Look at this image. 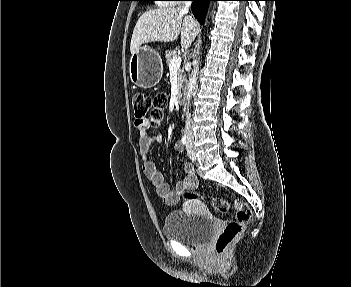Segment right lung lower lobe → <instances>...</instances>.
<instances>
[{
	"mask_svg": "<svg viewBox=\"0 0 351 287\" xmlns=\"http://www.w3.org/2000/svg\"><path fill=\"white\" fill-rule=\"evenodd\" d=\"M192 3V12L200 24L204 23L205 15L208 9V4L210 1L214 0H191Z\"/></svg>",
	"mask_w": 351,
	"mask_h": 287,
	"instance_id": "1",
	"label": "right lung lower lobe"
}]
</instances>
